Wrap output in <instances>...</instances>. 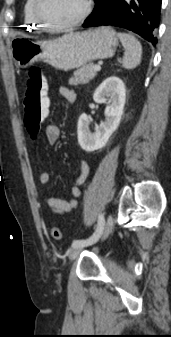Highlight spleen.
I'll return each instance as SVG.
<instances>
[{
	"label": "spleen",
	"mask_w": 171,
	"mask_h": 337,
	"mask_svg": "<svg viewBox=\"0 0 171 337\" xmlns=\"http://www.w3.org/2000/svg\"><path fill=\"white\" fill-rule=\"evenodd\" d=\"M125 53L122 59V65L125 69H133L137 67L141 62L142 46L141 43L131 34L118 33Z\"/></svg>",
	"instance_id": "1"
}]
</instances>
